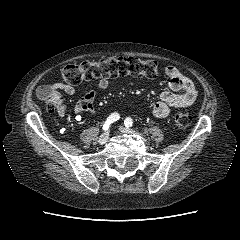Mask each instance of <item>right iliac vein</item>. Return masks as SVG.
<instances>
[{"label": "right iliac vein", "instance_id": "obj_1", "mask_svg": "<svg viewBox=\"0 0 240 240\" xmlns=\"http://www.w3.org/2000/svg\"><path fill=\"white\" fill-rule=\"evenodd\" d=\"M109 138V130H106L98 139V143L103 145L107 142Z\"/></svg>", "mask_w": 240, "mask_h": 240}]
</instances>
